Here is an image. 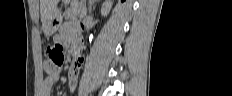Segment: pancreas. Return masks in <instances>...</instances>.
I'll list each match as a JSON object with an SVG mask.
<instances>
[{
    "mask_svg": "<svg viewBox=\"0 0 232 96\" xmlns=\"http://www.w3.org/2000/svg\"><path fill=\"white\" fill-rule=\"evenodd\" d=\"M83 11V7L81 5H72L70 9H68L64 13L65 19H76L77 17H81Z\"/></svg>",
    "mask_w": 232,
    "mask_h": 96,
    "instance_id": "obj_1",
    "label": "pancreas"
}]
</instances>
